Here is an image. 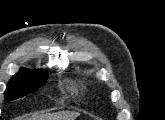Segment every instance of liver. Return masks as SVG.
I'll use <instances>...</instances> for the list:
<instances>
[{
    "mask_svg": "<svg viewBox=\"0 0 165 120\" xmlns=\"http://www.w3.org/2000/svg\"><path fill=\"white\" fill-rule=\"evenodd\" d=\"M78 115L79 114L76 112H60L42 118H45L43 120H74ZM33 120H37V119H33Z\"/></svg>",
    "mask_w": 165,
    "mask_h": 120,
    "instance_id": "6515ba94",
    "label": "liver"
}]
</instances>
